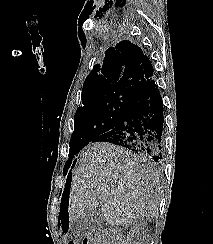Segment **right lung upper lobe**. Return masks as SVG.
I'll list each match as a JSON object with an SVG mask.
<instances>
[{
    "label": "right lung upper lobe",
    "mask_w": 213,
    "mask_h": 244,
    "mask_svg": "<svg viewBox=\"0 0 213 244\" xmlns=\"http://www.w3.org/2000/svg\"><path fill=\"white\" fill-rule=\"evenodd\" d=\"M99 64L85 79L82 103L114 94L135 96L153 77V66L142 49L128 40L119 42L105 52Z\"/></svg>",
    "instance_id": "1"
}]
</instances>
